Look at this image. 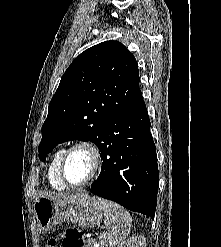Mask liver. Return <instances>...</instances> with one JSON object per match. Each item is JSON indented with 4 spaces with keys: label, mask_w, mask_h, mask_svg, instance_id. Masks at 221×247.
<instances>
[{
    "label": "liver",
    "mask_w": 221,
    "mask_h": 247,
    "mask_svg": "<svg viewBox=\"0 0 221 247\" xmlns=\"http://www.w3.org/2000/svg\"><path fill=\"white\" fill-rule=\"evenodd\" d=\"M48 198H61V197H66L65 194H58V195H48L46 196Z\"/></svg>",
    "instance_id": "6515ba94"
}]
</instances>
